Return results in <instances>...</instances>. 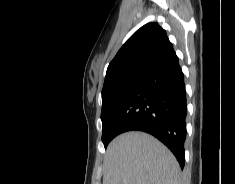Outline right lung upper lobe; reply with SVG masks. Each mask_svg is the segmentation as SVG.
I'll use <instances>...</instances> for the list:
<instances>
[{"mask_svg": "<svg viewBox=\"0 0 235 184\" xmlns=\"http://www.w3.org/2000/svg\"><path fill=\"white\" fill-rule=\"evenodd\" d=\"M174 53L163 28L157 23L144 25L126 41L109 64L102 95L130 78L145 77Z\"/></svg>", "mask_w": 235, "mask_h": 184, "instance_id": "obj_1", "label": "right lung upper lobe"}]
</instances>
